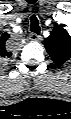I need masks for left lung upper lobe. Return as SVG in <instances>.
Here are the masks:
<instances>
[{
    "label": "left lung upper lobe",
    "instance_id": "left-lung-upper-lobe-1",
    "mask_svg": "<svg viewBox=\"0 0 71 119\" xmlns=\"http://www.w3.org/2000/svg\"><path fill=\"white\" fill-rule=\"evenodd\" d=\"M64 26H55L50 36L44 40V46L57 66L71 59V36L63 28Z\"/></svg>",
    "mask_w": 71,
    "mask_h": 119
}]
</instances>
